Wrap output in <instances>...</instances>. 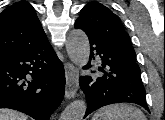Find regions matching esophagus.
Returning a JSON list of instances; mask_svg holds the SVG:
<instances>
[{"instance_id": "1", "label": "esophagus", "mask_w": 165, "mask_h": 120, "mask_svg": "<svg viewBox=\"0 0 165 120\" xmlns=\"http://www.w3.org/2000/svg\"><path fill=\"white\" fill-rule=\"evenodd\" d=\"M66 91L67 98H73L79 86L78 69L71 63H65Z\"/></svg>"}]
</instances>
